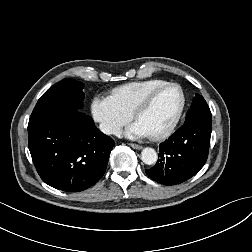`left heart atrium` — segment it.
I'll use <instances>...</instances> for the list:
<instances>
[{"mask_svg": "<svg viewBox=\"0 0 252 252\" xmlns=\"http://www.w3.org/2000/svg\"><path fill=\"white\" fill-rule=\"evenodd\" d=\"M124 135L131 139H138L152 136L151 132L140 121L132 123L125 131Z\"/></svg>", "mask_w": 252, "mask_h": 252, "instance_id": "left-heart-atrium-1", "label": "left heart atrium"}]
</instances>
